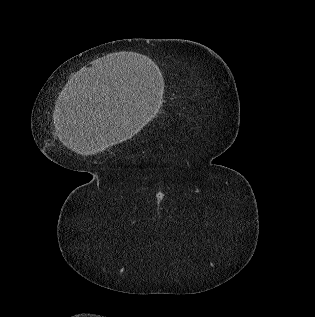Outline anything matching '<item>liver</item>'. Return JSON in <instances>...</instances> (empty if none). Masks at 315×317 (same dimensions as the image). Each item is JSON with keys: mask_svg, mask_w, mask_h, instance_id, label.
<instances>
[{"mask_svg": "<svg viewBox=\"0 0 315 317\" xmlns=\"http://www.w3.org/2000/svg\"><path fill=\"white\" fill-rule=\"evenodd\" d=\"M85 106V107H84ZM58 122L61 140L82 155L95 154L131 138L141 128L117 110L107 113L93 111L86 102L77 109L68 107Z\"/></svg>", "mask_w": 315, "mask_h": 317, "instance_id": "obj_1", "label": "liver"}]
</instances>
